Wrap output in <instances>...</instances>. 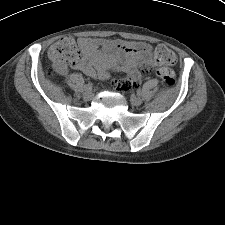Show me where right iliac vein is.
I'll list each match as a JSON object with an SVG mask.
<instances>
[{
    "instance_id": "right-iliac-vein-1",
    "label": "right iliac vein",
    "mask_w": 225,
    "mask_h": 225,
    "mask_svg": "<svg viewBox=\"0 0 225 225\" xmlns=\"http://www.w3.org/2000/svg\"><path fill=\"white\" fill-rule=\"evenodd\" d=\"M85 98H87L88 100L89 99H91L92 98V96H93V93L91 92V90L90 89H88V90H86V92H85Z\"/></svg>"
}]
</instances>
